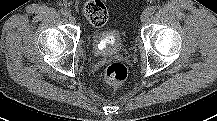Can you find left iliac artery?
Listing matches in <instances>:
<instances>
[{
  "label": "left iliac artery",
  "mask_w": 217,
  "mask_h": 121,
  "mask_svg": "<svg viewBox=\"0 0 217 121\" xmlns=\"http://www.w3.org/2000/svg\"><path fill=\"white\" fill-rule=\"evenodd\" d=\"M156 9V6H150L147 10L150 13V15H152L155 13Z\"/></svg>",
  "instance_id": "obj_1"
}]
</instances>
